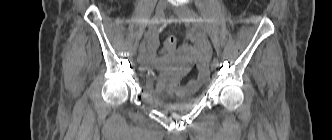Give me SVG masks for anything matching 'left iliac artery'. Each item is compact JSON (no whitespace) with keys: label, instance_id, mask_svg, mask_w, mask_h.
I'll return each instance as SVG.
<instances>
[{"label":"left iliac artery","instance_id":"1","mask_svg":"<svg viewBox=\"0 0 332 140\" xmlns=\"http://www.w3.org/2000/svg\"><path fill=\"white\" fill-rule=\"evenodd\" d=\"M192 22H194L195 27L198 31L202 32L204 31V24L202 18L195 12H193ZM213 62L218 66L219 61L216 57H214Z\"/></svg>","mask_w":332,"mask_h":140}]
</instances>
